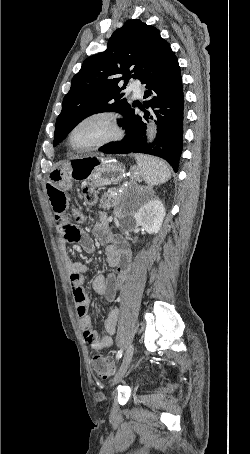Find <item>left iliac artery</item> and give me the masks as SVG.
<instances>
[{"mask_svg": "<svg viewBox=\"0 0 250 454\" xmlns=\"http://www.w3.org/2000/svg\"><path fill=\"white\" fill-rule=\"evenodd\" d=\"M122 355H123V350L120 349L116 354V359L119 360L122 357Z\"/></svg>", "mask_w": 250, "mask_h": 454, "instance_id": "44dca946", "label": "left iliac artery"}]
</instances>
